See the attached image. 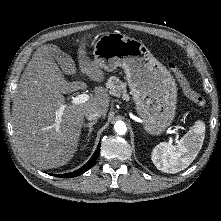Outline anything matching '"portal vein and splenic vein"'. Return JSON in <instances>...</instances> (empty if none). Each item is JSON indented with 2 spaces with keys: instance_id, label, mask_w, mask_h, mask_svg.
<instances>
[{
  "instance_id": "18ae733b",
  "label": "portal vein and splenic vein",
  "mask_w": 221,
  "mask_h": 221,
  "mask_svg": "<svg viewBox=\"0 0 221 221\" xmlns=\"http://www.w3.org/2000/svg\"><path fill=\"white\" fill-rule=\"evenodd\" d=\"M89 99H90V96L88 94H80V95L75 96L72 99L71 103L74 105L82 104V103L87 102ZM64 108H65V105H62L58 110V119L59 120L61 119ZM175 141L179 142L178 139H175ZM170 142L172 143V138H170Z\"/></svg>"
}]
</instances>
